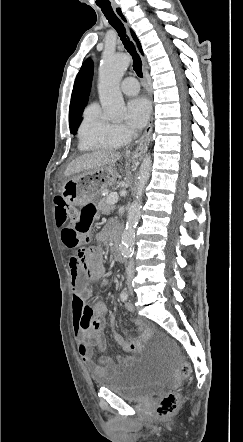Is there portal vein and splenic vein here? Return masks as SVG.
Masks as SVG:
<instances>
[{
  "label": "portal vein and splenic vein",
  "mask_w": 243,
  "mask_h": 442,
  "mask_svg": "<svg viewBox=\"0 0 243 442\" xmlns=\"http://www.w3.org/2000/svg\"><path fill=\"white\" fill-rule=\"evenodd\" d=\"M119 196L117 193L110 194L108 197V203L114 205L118 202Z\"/></svg>",
  "instance_id": "18ae733b"
}]
</instances>
